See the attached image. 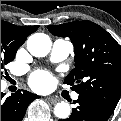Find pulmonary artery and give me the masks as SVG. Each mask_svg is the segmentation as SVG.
Instances as JSON below:
<instances>
[{
	"instance_id": "e3ab8cb5",
	"label": "pulmonary artery",
	"mask_w": 121,
	"mask_h": 121,
	"mask_svg": "<svg viewBox=\"0 0 121 121\" xmlns=\"http://www.w3.org/2000/svg\"><path fill=\"white\" fill-rule=\"evenodd\" d=\"M74 47L73 44L65 39H57L54 41L51 53H50V62L59 63L67 59L73 53ZM79 95L73 93L72 98L77 100Z\"/></svg>"
}]
</instances>
